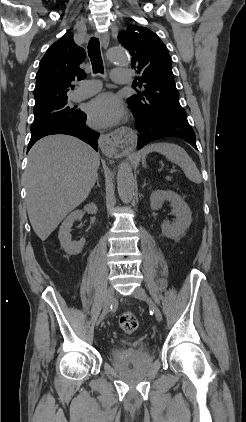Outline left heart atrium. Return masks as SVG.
<instances>
[{"instance_id":"left-heart-atrium-1","label":"left heart atrium","mask_w":246,"mask_h":422,"mask_svg":"<svg viewBox=\"0 0 246 422\" xmlns=\"http://www.w3.org/2000/svg\"><path fill=\"white\" fill-rule=\"evenodd\" d=\"M90 123L95 127H109L118 124L123 117V107L112 93H103L94 98L87 108Z\"/></svg>"}]
</instances>
